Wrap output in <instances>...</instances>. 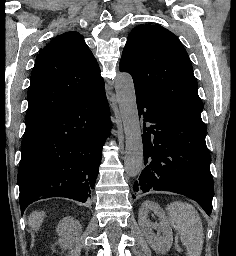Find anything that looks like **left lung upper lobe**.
Returning <instances> with one entry per match:
<instances>
[{"label": "left lung upper lobe", "instance_id": "obj_1", "mask_svg": "<svg viewBox=\"0 0 236 256\" xmlns=\"http://www.w3.org/2000/svg\"><path fill=\"white\" fill-rule=\"evenodd\" d=\"M135 92L201 118L203 103L183 45L160 25H138L129 34L120 60Z\"/></svg>", "mask_w": 236, "mask_h": 256}]
</instances>
